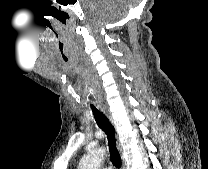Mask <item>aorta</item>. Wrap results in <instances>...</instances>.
<instances>
[{"mask_svg": "<svg viewBox=\"0 0 208 169\" xmlns=\"http://www.w3.org/2000/svg\"><path fill=\"white\" fill-rule=\"evenodd\" d=\"M104 155L105 150L102 148L92 150L82 157L78 169H99Z\"/></svg>", "mask_w": 208, "mask_h": 169, "instance_id": "aorta-1", "label": "aorta"}]
</instances>
